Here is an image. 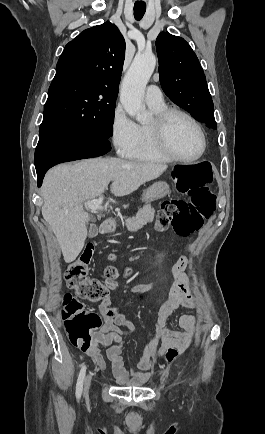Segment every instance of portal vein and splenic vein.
I'll return each mask as SVG.
<instances>
[{
    "label": "portal vein and splenic vein",
    "mask_w": 265,
    "mask_h": 434,
    "mask_svg": "<svg viewBox=\"0 0 265 434\" xmlns=\"http://www.w3.org/2000/svg\"><path fill=\"white\" fill-rule=\"evenodd\" d=\"M103 200V196H100L98 200H89V202H85V208H88V210H92V212H98V210H105L104 206H102Z\"/></svg>",
    "instance_id": "1"
}]
</instances>
